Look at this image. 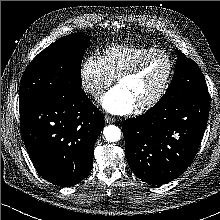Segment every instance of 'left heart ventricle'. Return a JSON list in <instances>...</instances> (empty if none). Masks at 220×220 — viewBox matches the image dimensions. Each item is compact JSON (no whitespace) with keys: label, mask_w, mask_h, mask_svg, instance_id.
I'll use <instances>...</instances> for the list:
<instances>
[{"label":"left heart ventricle","mask_w":220,"mask_h":220,"mask_svg":"<svg viewBox=\"0 0 220 220\" xmlns=\"http://www.w3.org/2000/svg\"><path fill=\"white\" fill-rule=\"evenodd\" d=\"M168 71L167 59L162 55L149 57L138 73L122 79L118 86L126 90L133 98L135 105L148 101L159 90Z\"/></svg>","instance_id":"b2bd125f"}]
</instances>
